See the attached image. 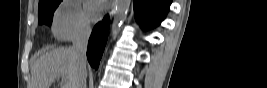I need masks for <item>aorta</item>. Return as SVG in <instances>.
I'll use <instances>...</instances> for the list:
<instances>
[{
  "instance_id": "obj_1",
  "label": "aorta",
  "mask_w": 267,
  "mask_h": 88,
  "mask_svg": "<svg viewBox=\"0 0 267 88\" xmlns=\"http://www.w3.org/2000/svg\"><path fill=\"white\" fill-rule=\"evenodd\" d=\"M130 0H116L114 5V21L111 27V36L115 40L121 30V26L127 17Z\"/></svg>"
}]
</instances>
